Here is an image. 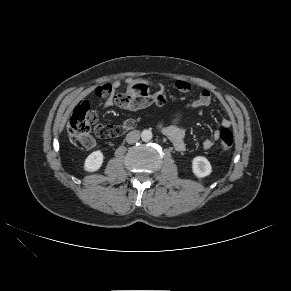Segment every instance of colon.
<instances>
[{"mask_svg": "<svg viewBox=\"0 0 291 291\" xmlns=\"http://www.w3.org/2000/svg\"><path fill=\"white\" fill-rule=\"evenodd\" d=\"M96 94L102 97V92L98 90ZM97 121V114L93 111L87 101L79 102L74 108L67 125V133L70 138L80 142L86 147L93 145L91 136V126ZM135 121L128 119L120 125H95L94 133L99 138L117 137L132 129ZM233 146V134L229 129H222L219 134V148L227 151Z\"/></svg>", "mask_w": 291, "mask_h": 291, "instance_id": "obj_1", "label": "colon"}]
</instances>
